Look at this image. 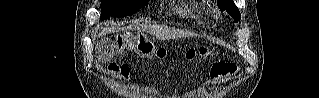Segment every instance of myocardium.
I'll list each match as a JSON object with an SVG mask.
<instances>
[{
    "instance_id": "f54148a6",
    "label": "myocardium",
    "mask_w": 319,
    "mask_h": 98,
    "mask_svg": "<svg viewBox=\"0 0 319 98\" xmlns=\"http://www.w3.org/2000/svg\"><path fill=\"white\" fill-rule=\"evenodd\" d=\"M218 14H219V13H218V11H217V10H215V11H214V17H216V18H217V17H218Z\"/></svg>"
}]
</instances>
